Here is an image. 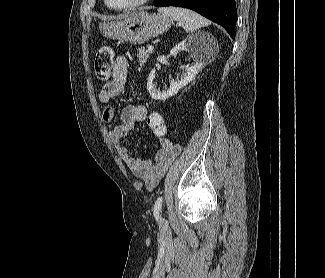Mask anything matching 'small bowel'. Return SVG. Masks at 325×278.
Returning a JSON list of instances; mask_svg holds the SVG:
<instances>
[{
	"label": "small bowel",
	"mask_w": 325,
	"mask_h": 278,
	"mask_svg": "<svg viewBox=\"0 0 325 278\" xmlns=\"http://www.w3.org/2000/svg\"><path fill=\"white\" fill-rule=\"evenodd\" d=\"M128 67L129 63L126 57H117L113 65L112 79L102 87L99 93V100L104 106L102 119L106 123L114 119L115 109L112 105V99L125 90ZM147 115V108L143 105L129 104L125 106L120 115L121 124L116 125L110 131L109 135L115 142L118 152L125 160L133 175L143 181L149 190H152L171 163L178 157L181 147L179 144L173 143L165 136H162L160 137L161 147L153 159L130 156L128 150L121 144V141L134 127L135 123L145 121Z\"/></svg>",
	"instance_id": "obj_1"
}]
</instances>
